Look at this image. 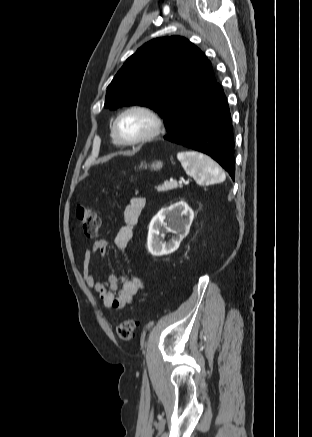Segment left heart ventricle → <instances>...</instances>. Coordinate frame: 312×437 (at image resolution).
<instances>
[{"label": "left heart ventricle", "mask_w": 312, "mask_h": 437, "mask_svg": "<svg viewBox=\"0 0 312 437\" xmlns=\"http://www.w3.org/2000/svg\"><path fill=\"white\" fill-rule=\"evenodd\" d=\"M153 128L152 119L142 112H130L123 116L119 129L127 140H135L148 134Z\"/></svg>", "instance_id": "b2bd125f"}]
</instances>
